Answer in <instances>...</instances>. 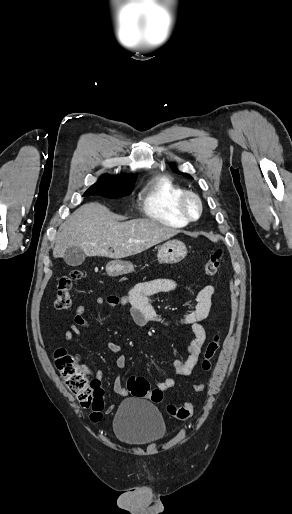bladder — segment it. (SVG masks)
I'll list each match as a JSON object with an SVG mask.
<instances>
[{
	"label": "bladder",
	"instance_id": "1",
	"mask_svg": "<svg viewBox=\"0 0 292 514\" xmlns=\"http://www.w3.org/2000/svg\"><path fill=\"white\" fill-rule=\"evenodd\" d=\"M116 438L130 446L157 442L167 434V426L158 408L141 399L129 398L119 406L113 421Z\"/></svg>",
	"mask_w": 292,
	"mask_h": 514
}]
</instances>
